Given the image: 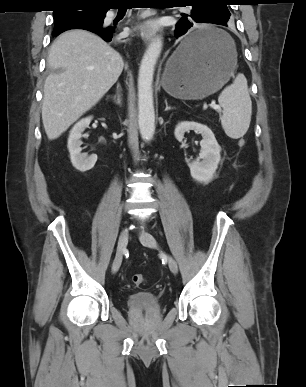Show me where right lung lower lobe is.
Masks as SVG:
<instances>
[{"instance_id": "1", "label": "right lung lower lobe", "mask_w": 306, "mask_h": 387, "mask_svg": "<svg viewBox=\"0 0 306 387\" xmlns=\"http://www.w3.org/2000/svg\"><path fill=\"white\" fill-rule=\"evenodd\" d=\"M69 29H85L91 32H94L98 34L100 37H102L105 41L110 42L113 37L115 36L117 27L116 26H103V23H95V25H76L73 27H70ZM64 30V31H66ZM63 31L59 33H54V35H58L62 33Z\"/></svg>"}]
</instances>
